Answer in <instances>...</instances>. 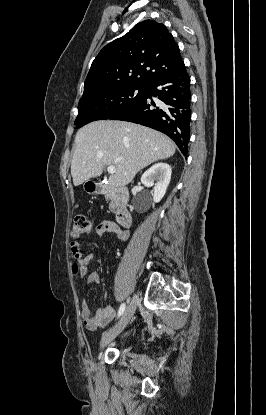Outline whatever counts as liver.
Returning a JSON list of instances; mask_svg holds the SVG:
<instances>
[{"instance_id":"obj_1","label":"liver","mask_w":266,"mask_h":415,"mask_svg":"<svg viewBox=\"0 0 266 415\" xmlns=\"http://www.w3.org/2000/svg\"><path fill=\"white\" fill-rule=\"evenodd\" d=\"M175 144L166 135L125 121L98 120L80 128L75 136L71 175L75 186L98 177L105 166L116 172L109 178L113 187H124L143 168L169 158Z\"/></svg>"}]
</instances>
